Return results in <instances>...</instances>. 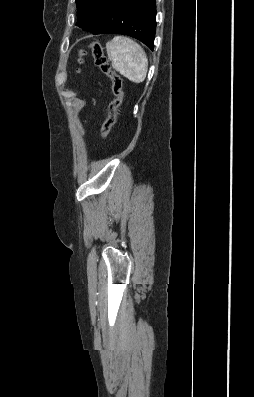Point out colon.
Returning a JSON list of instances; mask_svg holds the SVG:
<instances>
[{
    "label": "colon",
    "mask_w": 254,
    "mask_h": 397,
    "mask_svg": "<svg viewBox=\"0 0 254 397\" xmlns=\"http://www.w3.org/2000/svg\"><path fill=\"white\" fill-rule=\"evenodd\" d=\"M87 50H89L95 60L96 65L99 67V69L111 80L112 83V92L114 95L113 100L109 104L108 107V115L107 118L105 119L104 123L102 124L101 131H100V137L102 140H105L112 127L114 126L116 122V118L118 115V111L120 108V105L123 100V84H122V79L121 77L114 71L109 65L108 59L104 54L103 47L102 45L97 42H91L87 48H82L78 52V63L79 65L83 64L84 61V56L87 53ZM78 72H80V68L78 69Z\"/></svg>",
    "instance_id": "5ec220e1"
}]
</instances>
